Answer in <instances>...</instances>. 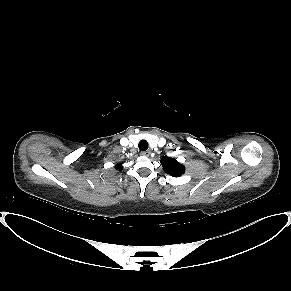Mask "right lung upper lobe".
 I'll list each match as a JSON object with an SVG mask.
<instances>
[{"label": "right lung upper lobe", "instance_id": "obj_1", "mask_svg": "<svg viewBox=\"0 0 291 291\" xmlns=\"http://www.w3.org/2000/svg\"><path fill=\"white\" fill-rule=\"evenodd\" d=\"M122 166H121V164H119L117 167H116V169L118 170H121L120 168H121Z\"/></svg>", "mask_w": 291, "mask_h": 291}]
</instances>
